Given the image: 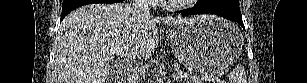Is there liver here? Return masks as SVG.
Here are the masks:
<instances>
[{
    "label": "liver",
    "mask_w": 307,
    "mask_h": 83,
    "mask_svg": "<svg viewBox=\"0 0 307 83\" xmlns=\"http://www.w3.org/2000/svg\"><path fill=\"white\" fill-rule=\"evenodd\" d=\"M201 18L142 17L130 4L81 6L59 28L52 81L105 83L112 68L107 49L120 50L127 61L147 59L158 45L157 23L176 26Z\"/></svg>",
    "instance_id": "obj_1"
}]
</instances>
